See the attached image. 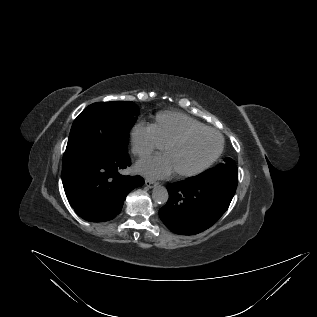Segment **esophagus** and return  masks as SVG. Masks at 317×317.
<instances>
[{
	"label": "esophagus",
	"instance_id": "obj_1",
	"mask_svg": "<svg viewBox=\"0 0 317 317\" xmlns=\"http://www.w3.org/2000/svg\"><path fill=\"white\" fill-rule=\"evenodd\" d=\"M158 183L154 180H151V179H146L145 180V185L148 187V188H153L157 185Z\"/></svg>",
	"mask_w": 317,
	"mask_h": 317
}]
</instances>
